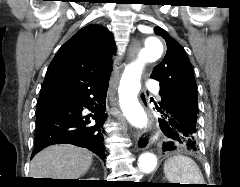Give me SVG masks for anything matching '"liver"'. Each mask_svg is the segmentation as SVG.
Wrapping results in <instances>:
<instances>
[{"label":"liver","instance_id":"6515ba94","mask_svg":"<svg viewBox=\"0 0 240 187\" xmlns=\"http://www.w3.org/2000/svg\"><path fill=\"white\" fill-rule=\"evenodd\" d=\"M92 164V154L71 144L49 146L32 159L31 178L78 179Z\"/></svg>","mask_w":240,"mask_h":187}]
</instances>
